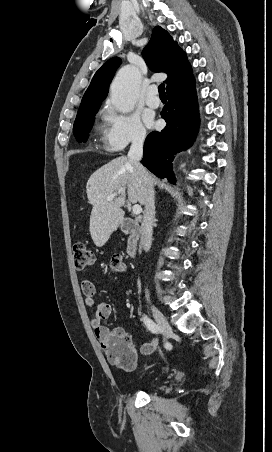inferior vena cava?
Segmentation results:
<instances>
[{
	"label": "inferior vena cava",
	"mask_w": 272,
	"mask_h": 452,
	"mask_svg": "<svg viewBox=\"0 0 272 452\" xmlns=\"http://www.w3.org/2000/svg\"><path fill=\"white\" fill-rule=\"evenodd\" d=\"M145 134L141 133L132 141L130 150L128 152V160L132 164L134 170L139 175L143 184V204L145 206L143 220L141 223V239L142 248L147 252L152 245L153 222L155 218V204H154V187L153 180L144 166L141 164L143 157V145ZM146 297H149L148 290H146Z\"/></svg>",
	"instance_id": "1"
}]
</instances>
